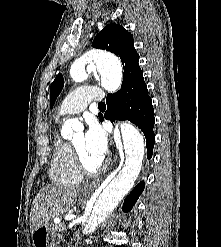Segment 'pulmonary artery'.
<instances>
[{
    "instance_id": "1",
    "label": "pulmonary artery",
    "mask_w": 221,
    "mask_h": 247,
    "mask_svg": "<svg viewBox=\"0 0 221 247\" xmlns=\"http://www.w3.org/2000/svg\"><path fill=\"white\" fill-rule=\"evenodd\" d=\"M104 96L105 93L101 89L81 86L63 99L57 118L78 114L84 111L91 101L101 100Z\"/></svg>"
}]
</instances>
